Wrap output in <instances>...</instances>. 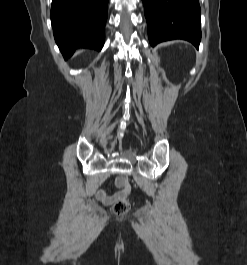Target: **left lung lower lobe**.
Wrapping results in <instances>:
<instances>
[{"instance_id": "1", "label": "left lung lower lobe", "mask_w": 247, "mask_h": 265, "mask_svg": "<svg viewBox=\"0 0 247 265\" xmlns=\"http://www.w3.org/2000/svg\"><path fill=\"white\" fill-rule=\"evenodd\" d=\"M152 46L183 39L197 48L201 40L198 0H142Z\"/></svg>"}]
</instances>
